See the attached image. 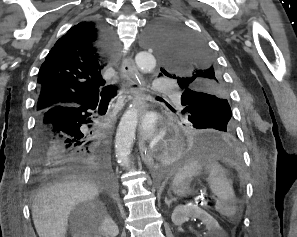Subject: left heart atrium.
Listing matches in <instances>:
<instances>
[{
	"instance_id": "1",
	"label": "left heart atrium",
	"mask_w": 297,
	"mask_h": 237,
	"mask_svg": "<svg viewBox=\"0 0 297 237\" xmlns=\"http://www.w3.org/2000/svg\"><path fill=\"white\" fill-rule=\"evenodd\" d=\"M140 132L143 137L145 138H152L155 136V128H154V123L152 120L148 117H143L140 120Z\"/></svg>"
}]
</instances>
